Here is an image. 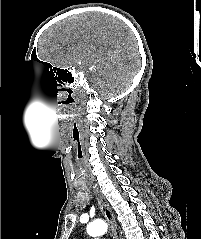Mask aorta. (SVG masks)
I'll return each mask as SVG.
<instances>
[{"instance_id": "762f6f07", "label": "aorta", "mask_w": 201, "mask_h": 239, "mask_svg": "<svg viewBox=\"0 0 201 239\" xmlns=\"http://www.w3.org/2000/svg\"><path fill=\"white\" fill-rule=\"evenodd\" d=\"M106 222L97 220L87 225V233L92 237L102 236L107 232Z\"/></svg>"}]
</instances>
